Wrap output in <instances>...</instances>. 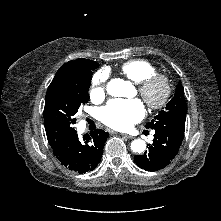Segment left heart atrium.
Here are the masks:
<instances>
[{
	"mask_svg": "<svg viewBox=\"0 0 221 221\" xmlns=\"http://www.w3.org/2000/svg\"><path fill=\"white\" fill-rule=\"evenodd\" d=\"M145 110L137 100H112L100 110L101 121L115 130H127L142 120Z\"/></svg>",
	"mask_w": 221,
	"mask_h": 221,
	"instance_id": "left-heart-atrium-1",
	"label": "left heart atrium"
}]
</instances>
